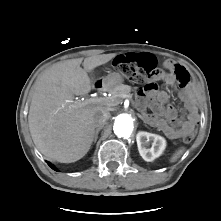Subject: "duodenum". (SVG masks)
Wrapping results in <instances>:
<instances>
[{
  "label": "duodenum",
  "instance_id": "duodenum-1",
  "mask_svg": "<svg viewBox=\"0 0 221 221\" xmlns=\"http://www.w3.org/2000/svg\"><path fill=\"white\" fill-rule=\"evenodd\" d=\"M95 87H96L97 89H99L100 91L105 90V89L107 88L106 84L103 83V82H97V83L95 84Z\"/></svg>",
  "mask_w": 221,
  "mask_h": 221
}]
</instances>
